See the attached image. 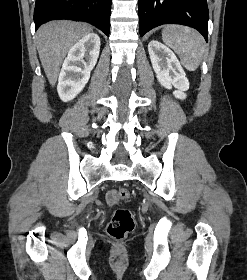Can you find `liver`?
<instances>
[{
  "mask_svg": "<svg viewBox=\"0 0 247 280\" xmlns=\"http://www.w3.org/2000/svg\"><path fill=\"white\" fill-rule=\"evenodd\" d=\"M91 32L88 24L67 20L51 21L38 29L37 50L50 85H55L61 64L71 47Z\"/></svg>",
  "mask_w": 247,
  "mask_h": 280,
  "instance_id": "1",
  "label": "liver"
}]
</instances>
